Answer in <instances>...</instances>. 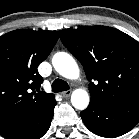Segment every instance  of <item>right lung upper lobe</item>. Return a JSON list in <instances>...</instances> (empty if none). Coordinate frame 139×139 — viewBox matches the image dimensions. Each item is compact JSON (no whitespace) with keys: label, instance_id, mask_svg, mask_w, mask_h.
Listing matches in <instances>:
<instances>
[{"label":"right lung upper lobe","instance_id":"right-lung-upper-lobe-1","mask_svg":"<svg viewBox=\"0 0 139 139\" xmlns=\"http://www.w3.org/2000/svg\"><path fill=\"white\" fill-rule=\"evenodd\" d=\"M56 31L19 29L0 37V130L27 118L55 97L40 90L37 67L58 40Z\"/></svg>","mask_w":139,"mask_h":139}]
</instances>
